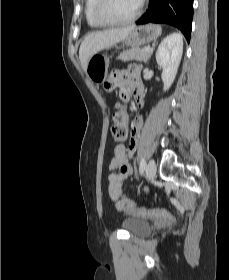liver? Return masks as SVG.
Here are the masks:
<instances>
[{"mask_svg":"<svg viewBox=\"0 0 229 280\" xmlns=\"http://www.w3.org/2000/svg\"><path fill=\"white\" fill-rule=\"evenodd\" d=\"M134 28V26H129L88 33L84 37L79 49V59L83 69L85 70L91 56L124 40Z\"/></svg>","mask_w":229,"mask_h":280,"instance_id":"6515ba94","label":"liver"}]
</instances>
